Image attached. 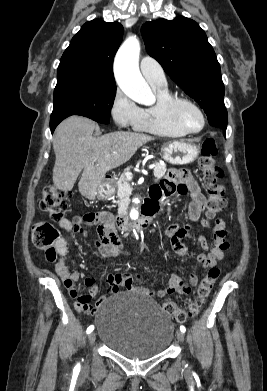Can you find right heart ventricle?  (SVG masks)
I'll return each instance as SVG.
<instances>
[{
	"mask_svg": "<svg viewBox=\"0 0 267 391\" xmlns=\"http://www.w3.org/2000/svg\"><path fill=\"white\" fill-rule=\"evenodd\" d=\"M157 101L154 105L141 109L140 119L134 128L162 137H182L187 133L179 128L167 115L165 103L173 96L166 87H152Z\"/></svg>",
	"mask_w": 267,
	"mask_h": 391,
	"instance_id": "obj_1",
	"label": "right heart ventricle"
}]
</instances>
